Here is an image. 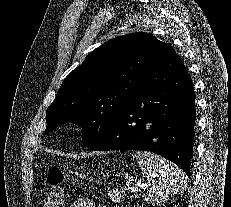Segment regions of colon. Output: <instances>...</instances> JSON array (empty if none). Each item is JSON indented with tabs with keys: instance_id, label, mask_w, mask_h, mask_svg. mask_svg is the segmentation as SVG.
Wrapping results in <instances>:
<instances>
[{
	"instance_id": "1",
	"label": "colon",
	"mask_w": 231,
	"mask_h": 207,
	"mask_svg": "<svg viewBox=\"0 0 231 207\" xmlns=\"http://www.w3.org/2000/svg\"><path fill=\"white\" fill-rule=\"evenodd\" d=\"M68 174L59 168H51L47 173L50 190L46 195L44 207H64L63 184L68 179Z\"/></svg>"
}]
</instances>
